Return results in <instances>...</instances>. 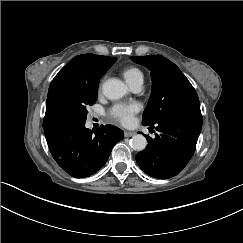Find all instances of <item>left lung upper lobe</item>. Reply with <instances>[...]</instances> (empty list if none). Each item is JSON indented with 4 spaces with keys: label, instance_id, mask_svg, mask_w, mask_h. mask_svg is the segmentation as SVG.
<instances>
[{
    "label": "left lung upper lobe",
    "instance_id": "5c2ea615",
    "mask_svg": "<svg viewBox=\"0 0 243 243\" xmlns=\"http://www.w3.org/2000/svg\"><path fill=\"white\" fill-rule=\"evenodd\" d=\"M131 59L151 71L152 92L143 113V125L157 124L178 113L201 114L195 89L174 63L161 55Z\"/></svg>",
    "mask_w": 243,
    "mask_h": 243
}]
</instances>
